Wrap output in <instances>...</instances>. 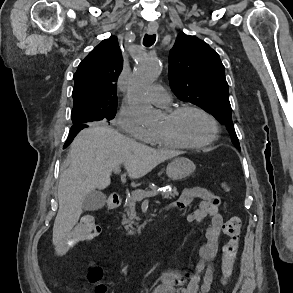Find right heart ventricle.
<instances>
[{"mask_svg": "<svg viewBox=\"0 0 293 293\" xmlns=\"http://www.w3.org/2000/svg\"><path fill=\"white\" fill-rule=\"evenodd\" d=\"M152 146H155L157 148L161 149H176L178 148L177 145L172 144L162 138L159 134H154L152 140L149 142Z\"/></svg>", "mask_w": 293, "mask_h": 293, "instance_id": "e07e8e85", "label": "right heart ventricle"}]
</instances>
